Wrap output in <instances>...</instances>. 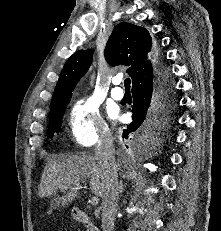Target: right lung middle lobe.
<instances>
[{"label": "right lung middle lobe", "mask_w": 221, "mask_h": 231, "mask_svg": "<svg viewBox=\"0 0 221 231\" xmlns=\"http://www.w3.org/2000/svg\"><path fill=\"white\" fill-rule=\"evenodd\" d=\"M70 99L60 104L55 110L50 112L49 132L48 136L52 137L55 132L59 131L61 126L62 116L66 109ZM175 106V99H168L162 103L155 104L144 122L143 126L139 130L142 138L148 144H152L155 141L156 129L164 125L169 121V115Z\"/></svg>", "instance_id": "1"}]
</instances>
